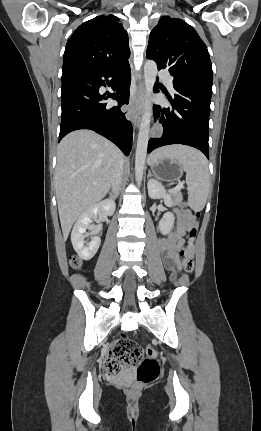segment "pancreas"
<instances>
[{
    "label": "pancreas",
    "mask_w": 261,
    "mask_h": 431,
    "mask_svg": "<svg viewBox=\"0 0 261 431\" xmlns=\"http://www.w3.org/2000/svg\"><path fill=\"white\" fill-rule=\"evenodd\" d=\"M171 196L173 197V201H172L173 205L178 204L183 199L182 194H181L180 191L172 192Z\"/></svg>",
    "instance_id": "obj_1"
}]
</instances>
